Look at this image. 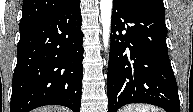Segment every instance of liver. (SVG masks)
<instances>
[{
	"mask_svg": "<svg viewBox=\"0 0 193 112\" xmlns=\"http://www.w3.org/2000/svg\"><path fill=\"white\" fill-rule=\"evenodd\" d=\"M34 112H69V110L63 107H43L35 109Z\"/></svg>",
	"mask_w": 193,
	"mask_h": 112,
	"instance_id": "6515ba94",
	"label": "liver"
}]
</instances>
